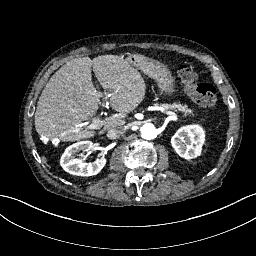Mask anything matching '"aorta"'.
Returning <instances> with one entry per match:
<instances>
[{
    "label": "aorta",
    "instance_id": "1",
    "mask_svg": "<svg viewBox=\"0 0 256 256\" xmlns=\"http://www.w3.org/2000/svg\"><path fill=\"white\" fill-rule=\"evenodd\" d=\"M140 131L141 136L146 140H152L157 137V128L153 124H145Z\"/></svg>",
    "mask_w": 256,
    "mask_h": 256
}]
</instances>
